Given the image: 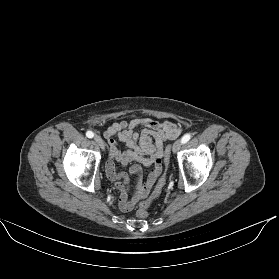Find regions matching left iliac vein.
<instances>
[{
    "instance_id": "left-iliac-vein-1",
    "label": "left iliac vein",
    "mask_w": 279,
    "mask_h": 279,
    "mask_svg": "<svg viewBox=\"0 0 279 279\" xmlns=\"http://www.w3.org/2000/svg\"><path fill=\"white\" fill-rule=\"evenodd\" d=\"M182 144H183V143H182L181 140L175 141L174 144H173V146H172V152H173L174 154L177 153V152L180 150Z\"/></svg>"
}]
</instances>
